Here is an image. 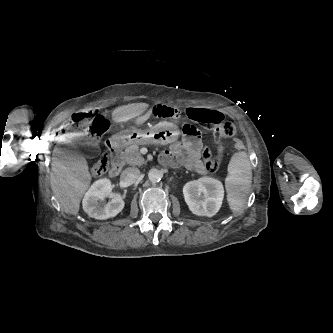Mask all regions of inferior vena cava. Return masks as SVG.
<instances>
[{"mask_svg": "<svg viewBox=\"0 0 333 333\" xmlns=\"http://www.w3.org/2000/svg\"><path fill=\"white\" fill-rule=\"evenodd\" d=\"M121 177L125 184H133L140 177V170L138 168H127L122 172Z\"/></svg>", "mask_w": 333, "mask_h": 333, "instance_id": "602c4592", "label": "inferior vena cava"}]
</instances>
